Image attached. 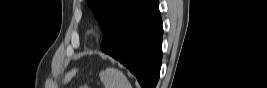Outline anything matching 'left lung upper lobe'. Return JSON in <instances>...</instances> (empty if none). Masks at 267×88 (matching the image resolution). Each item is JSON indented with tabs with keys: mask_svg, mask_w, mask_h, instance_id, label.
<instances>
[{
	"mask_svg": "<svg viewBox=\"0 0 267 88\" xmlns=\"http://www.w3.org/2000/svg\"><path fill=\"white\" fill-rule=\"evenodd\" d=\"M140 0H87L103 33H106L119 17Z\"/></svg>",
	"mask_w": 267,
	"mask_h": 88,
	"instance_id": "left-lung-upper-lobe-1",
	"label": "left lung upper lobe"
}]
</instances>
